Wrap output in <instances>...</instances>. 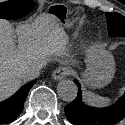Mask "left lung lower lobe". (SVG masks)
I'll return each instance as SVG.
<instances>
[{
    "label": "left lung lower lobe",
    "mask_w": 125,
    "mask_h": 125,
    "mask_svg": "<svg viewBox=\"0 0 125 125\" xmlns=\"http://www.w3.org/2000/svg\"><path fill=\"white\" fill-rule=\"evenodd\" d=\"M79 87L76 99L65 107L67 119L73 125H115L125 117V94L117 102L106 108H92L82 101V90Z\"/></svg>",
    "instance_id": "obj_1"
}]
</instances>
